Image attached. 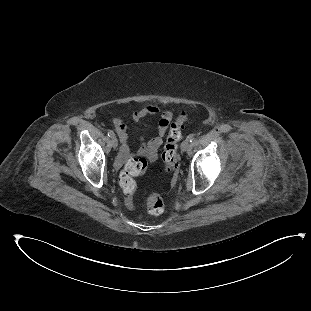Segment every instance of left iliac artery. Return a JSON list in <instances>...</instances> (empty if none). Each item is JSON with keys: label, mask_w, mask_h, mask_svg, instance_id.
<instances>
[{"label": "left iliac artery", "mask_w": 311, "mask_h": 311, "mask_svg": "<svg viewBox=\"0 0 311 311\" xmlns=\"http://www.w3.org/2000/svg\"><path fill=\"white\" fill-rule=\"evenodd\" d=\"M187 140L189 142H192L194 140V134H190L188 137H187Z\"/></svg>", "instance_id": "obj_1"}]
</instances>
